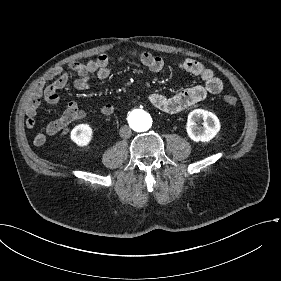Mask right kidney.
Here are the masks:
<instances>
[{"mask_svg": "<svg viewBox=\"0 0 281 281\" xmlns=\"http://www.w3.org/2000/svg\"><path fill=\"white\" fill-rule=\"evenodd\" d=\"M92 128L88 124H80L71 131V139L78 146H86L92 139Z\"/></svg>", "mask_w": 281, "mask_h": 281, "instance_id": "ca27d5eb", "label": "right kidney"}]
</instances>
